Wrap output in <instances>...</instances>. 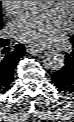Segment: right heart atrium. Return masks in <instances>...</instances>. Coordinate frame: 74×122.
Segmentation results:
<instances>
[{
	"mask_svg": "<svg viewBox=\"0 0 74 122\" xmlns=\"http://www.w3.org/2000/svg\"><path fill=\"white\" fill-rule=\"evenodd\" d=\"M4 10L9 15H16L20 12L23 6V1H1Z\"/></svg>",
	"mask_w": 74,
	"mask_h": 122,
	"instance_id": "1",
	"label": "right heart atrium"
}]
</instances>
